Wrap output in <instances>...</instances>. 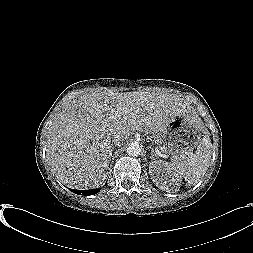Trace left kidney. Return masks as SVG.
<instances>
[{"mask_svg":"<svg viewBox=\"0 0 253 253\" xmlns=\"http://www.w3.org/2000/svg\"><path fill=\"white\" fill-rule=\"evenodd\" d=\"M151 175L153 182L161 190L166 192L178 191L182 177L167 162L162 160L152 162Z\"/></svg>","mask_w":253,"mask_h":253,"instance_id":"left-kidney-1","label":"left kidney"}]
</instances>
